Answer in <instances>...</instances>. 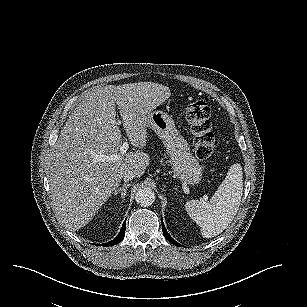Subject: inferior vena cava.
Listing matches in <instances>:
<instances>
[{
	"mask_svg": "<svg viewBox=\"0 0 307 307\" xmlns=\"http://www.w3.org/2000/svg\"><path fill=\"white\" fill-rule=\"evenodd\" d=\"M135 177L132 171H128L124 174L123 179L125 182L131 181Z\"/></svg>",
	"mask_w": 307,
	"mask_h": 307,
	"instance_id": "602c4592",
	"label": "inferior vena cava"
}]
</instances>
